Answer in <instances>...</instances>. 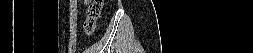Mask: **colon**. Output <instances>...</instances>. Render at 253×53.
Instances as JSON below:
<instances>
[{
    "label": "colon",
    "instance_id": "1",
    "mask_svg": "<svg viewBox=\"0 0 253 53\" xmlns=\"http://www.w3.org/2000/svg\"><path fill=\"white\" fill-rule=\"evenodd\" d=\"M103 7V0H92L86 10V19L83 23V30L86 35H91L96 27Z\"/></svg>",
    "mask_w": 253,
    "mask_h": 53
}]
</instances>
